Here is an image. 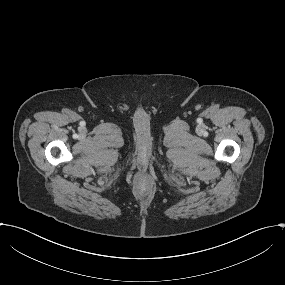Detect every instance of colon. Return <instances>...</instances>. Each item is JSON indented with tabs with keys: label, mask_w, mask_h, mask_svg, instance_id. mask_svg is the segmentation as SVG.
Listing matches in <instances>:
<instances>
[{
	"label": "colon",
	"mask_w": 285,
	"mask_h": 285,
	"mask_svg": "<svg viewBox=\"0 0 285 285\" xmlns=\"http://www.w3.org/2000/svg\"><path fill=\"white\" fill-rule=\"evenodd\" d=\"M138 185L143 188H147L149 186V181L146 177H140L138 179Z\"/></svg>",
	"instance_id": "1"
}]
</instances>
